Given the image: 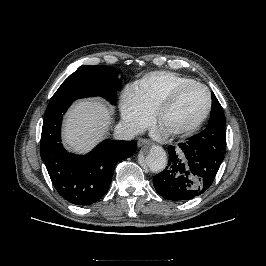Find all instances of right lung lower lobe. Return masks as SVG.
I'll use <instances>...</instances> for the list:
<instances>
[{"instance_id":"obj_1","label":"right lung lower lobe","mask_w":266,"mask_h":266,"mask_svg":"<svg viewBox=\"0 0 266 266\" xmlns=\"http://www.w3.org/2000/svg\"><path fill=\"white\" fill-rule=\"evenodd\" d=\"M75 99L52 97L45 111L41 134V158L52 184L68 202L87 206L108 191L115 165L132 156L136 141L105 140L85 156L68 153L61 144L62 116Z\"/></svg>"}]
</instances>
